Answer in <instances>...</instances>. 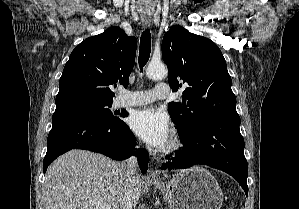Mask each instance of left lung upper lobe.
I'll list each match as a JSON object with an SVG mask.
<instances>
[{"label": "left lung upper lobe", "mask_w": 299, "mask_h": 209, "mask_svg": "<svg viewBox=\"0 0 299 209\" xmlns=\"http://www.w3.org/2000/svg\"><path fill=\"white\" fill-rule=\"evenodd\" d=\"M162 58L173 91L185 88L181 102L168 105L180 136L197 129L212 115L236 111L226 61L210 39L174 26L163 37Z\"/></svg>", "instance_id": "5c2ea615"}]
</instances>
